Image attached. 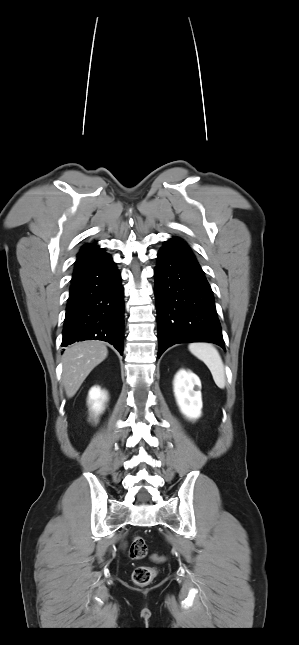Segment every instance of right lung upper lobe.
Wrapping results in <instances>:
<instances>
[{
  "label": "right lung upper lobe",
  "instance_id": "right-lung-upper-lobe-1",
  "mask_svg": "<svg viewBox=\"0 0 299 645\" xmlns=\"http://www.w3.org/2000/svg\"><path fill=\"white\" fill-rule=\"evenodd\" d=\"M108 254L104 249L99 248L96 244H85L77 256L74 271L88 264L98 261Z\"/></svg>",
  "mask_w": 299,
  "mask_h": 645
}]
</instances>
